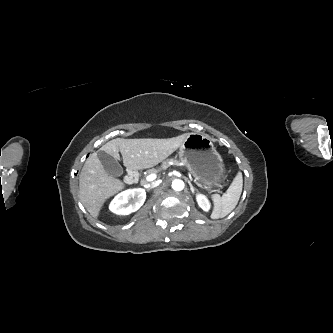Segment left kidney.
Returning <instances> with one entry per match:
<instances>
[{
  "label": "left kidney",
  "instance_id": "obj_1",
  "mask_svg": "<svg viewBox=\"0 0 333 333\" xmlns=\"http://www.w3.org/2000/svg\"><path fill=\"white\" fill-rule=\"evenodd\" d=\"M196 200L198 205L204 210V211H209L210 209V202L208 201V199L202 195L199 194L196 196Z\"/></svg>",
  "mask_w": 333,
  "mask_h": 333
}]
</instances>
